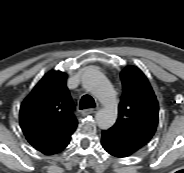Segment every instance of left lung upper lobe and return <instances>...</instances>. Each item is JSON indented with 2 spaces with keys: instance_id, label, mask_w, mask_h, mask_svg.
<instances>
[{
  "instance_id": "left-lung-upper-lobe-1",
  "label": "left lung upper lobe",
  "mask_w": 184,
  "mask_h": 173,
  "mask_svg": "<svg viewBox=\"0 0 184 173\" xmlns=\"http://www.w3.org/2000/svg\"><path fill=\"white\" fill-rule=\"evenodd\" d=\"M120 77L123 94L118 119L108 130L137 152L156 131L159 105L151 85L139 68L127 66Z\"/></svg>"
}]
</instances>
